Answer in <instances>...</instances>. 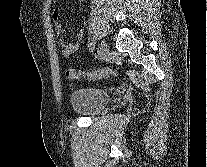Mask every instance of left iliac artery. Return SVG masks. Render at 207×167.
Wrapping results in <instances>:
<instances>
[{
    "instance_id": "obj_1",
    "label": "left iliac artery",
    "mask_w": 207,
    "mask_h": 167,
    "mask_svg": "<svg viewBox=\"0 0 207 167\" xmlns=\"http://www.w3.org/2000/svg\"><path fill=\"white\" fill-rule=\"evenodd\" d=\"M89 51L90 52H93L94 48H95V40H92L90 43H89Z\"/></svg>"
}]
</instances>
